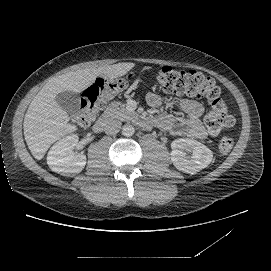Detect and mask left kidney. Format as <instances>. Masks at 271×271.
I'll return each instance as SVG.
<instances>
[{"instance_id":"left-kidney-1","label":"left kidney","mask_w":271,"mask_h":271,"mask_svg":"<svg viewBox=\"0 0 271 271\" xmlns=\"http://www.w3.org/2000/svg\"><path fill=\"white\" fill-rule=\"evenodd\" d=\"M171 148L173 165L185 173H196L206 168L213 159L212 151L193 139H176L171 143Z\"/></svg>"}]
</instances>
